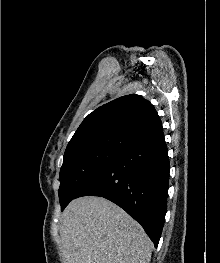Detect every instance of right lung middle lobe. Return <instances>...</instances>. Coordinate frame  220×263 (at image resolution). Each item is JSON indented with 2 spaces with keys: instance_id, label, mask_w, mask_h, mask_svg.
<instances>
[{
  "instance_id": "obj_1",
  "label": "right lung middle lobe",
  "mask_w": 220,
  "mask_h": 263,
  "mask_svg": "<svg viewBox=\"0 0 220 263\" xmlns=\"http://www.w3.org/2000/svg\"><path fill=\"white\" fill-rule=\"evenodd\" d=\"M121 153L122 150L110 148H91L65 153L59 176L61 210L92 178L116 160Z\"/></svg>"
}]
</instances>
